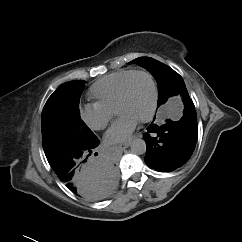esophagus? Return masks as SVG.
Returning a JSON list of instances; mask_svg holds the SVG:
<instances>
[{"label": "esophagus", "mask_w": 242, "mask_h": 242, "mask_svg": "<svg viewBox=\"0 0 242 242\" xmlns=\"http://www.w3.org/2000/svg\"><path fill=\"white\" fill-rule=\"evenodd\" d=\"M130 144H131V142L128 141V142H125V143L120 144L119 147H120L121 149H126L127 147L130 146Z\"/></svg>", "instance_id": "34e87169"}]
</instances>
